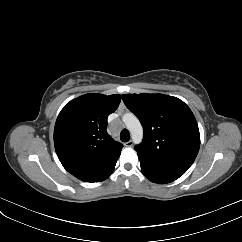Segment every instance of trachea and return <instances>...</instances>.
I'll use <instances>...</instances> for the list:
<instances>
[{
  "instance_id": "trachea-1",
  "label": "trachea",
  "mask_w": 242,
  "mask_h": 242,
  "mask_svg": "<svg viewBox=\"0 0 242 242\" xmlns=\"http://www.w3.org/2000/svg\"><path fill=\"white\" fill-rule=\"evenodd\" d=\"M120 139L122 142H128L130 140V133L127 129H123L120 133Z\"/></svg>"
}]
</instances>
